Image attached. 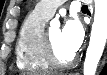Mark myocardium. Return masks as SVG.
<instances>
[{"instance_id": "1", "label": "myocardium", "mask_w": 107, "mask_h": 75, "mask_svg": "<svg viewBox=\"0 0 107 75\" xmlns=\"http://www.w3.org/2000/svg\"><path fill=\"white\" fill-rule=\"evenodd\" d=\"M43 49L46 61L53 68L65 69L71 67L75 63L76 58L74 54L67 60H61L58 57L48 31L43 32Z\"/></svg>"}]
</instances>
